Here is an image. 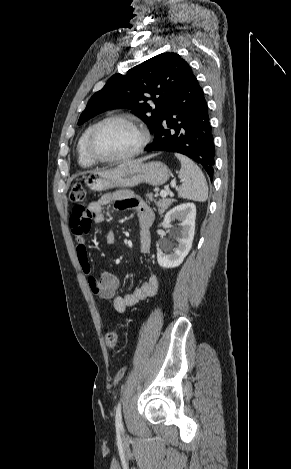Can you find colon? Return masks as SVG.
Masks as SVG:
<instances>
[{
	"label": "colon",
	"instance_id": "5ec220e1",
	"mask_svg": "<svg viewBox=\"0 0 291 469\" xmlns=\"http://www.w3.org/2000/svg\"><path fill=\"white\" fill-rule=\"evenodd\" d=\"M86 190L81 185H75L70 192V198L73 202L82 203L86 200ZM78 209L82 210L83 207L79 206ZM105 342L109 349L115 350L121 346L120 337L115 328H109L105 334Z\"/></svg>",
	"mask_w": 291,
	"mask_h": 469
}]
</instances>
